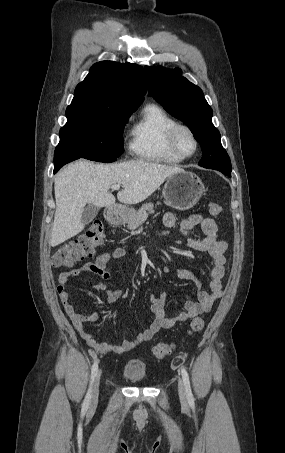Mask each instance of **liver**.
<instances>
[{"label":"liver","instance_id":"liver-1","mask_svg":"<svg viewBox=\"0 0 285 453\" xmlns=\"http://www.w3.org/2000/svg\"><path fill=\"white\" fill-rule=\"evenodd\" d=\"M182 171L177 166H167L143 160L101 164L78 160L63 168L55 177L56 211L50 244L58 246L84 229L82 213L85 205L109 207L115 197L109 192L114 184L123 190L117 199L124 204H137L153 194L171 175Z\"/></svg>","mask_w":285,"mask_h":453}]
</instances>
